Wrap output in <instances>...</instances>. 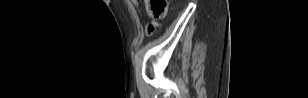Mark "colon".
Segmentation results:
<instances>
[{
    "instance_id": "5ec220e1",
    "label": "colon",
    "mask_w": 308,
    "mask_h": 98,
    "mask_svg": "<svg viewBox=\"0 0 308 98\" xmlns=\"http://www.w3.org/2000/svg\"><path fill=\"white\" fill-rule=\"evenodd\" d=\"M145 8L151 22L148 25V30L155 28L156 21L165 17L168 9L167 0H145Z\"/></svg>"
}]
</instances>
